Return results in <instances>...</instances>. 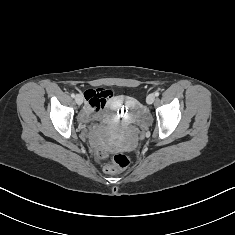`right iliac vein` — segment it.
I'll return each instance as SVG.
<instances>
[{"mask_svg":"<svg viewBox=\"0 0 235 235\" xmlns=\"http://www.w3.org/2000/svg\"><path fill=\"white\" fill-rule=\"evenodd\" d=\"M75 101L78 105H81L83 103V97L81 95H76Z\"/></svg>","mask_w":235,"mask_h":235,"instance_id":"63e3f726","label":"right iliac vein"}]
</instances>
